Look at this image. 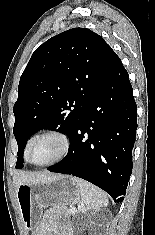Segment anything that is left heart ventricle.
Listing matches in <instances>:
<instances>
[{"label": "left heart ventricle", "instance_id": "b2bd125f", "mask_svg": "<svg viewBox=\"0 0 155 235\" xmlns=\"http://www.w3.org/2000/svg\"><path fill=\"white\" fill-rule=\"evenodd\" d=\"M62 141L55 136H47L36 141L30 150V159L34 163H46L56 158L62 151Z\"/></svg>", "mask_w": 155, "mask_h": 235}]
</instances>
